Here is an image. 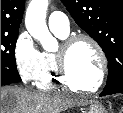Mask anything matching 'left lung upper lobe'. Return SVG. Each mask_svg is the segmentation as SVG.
Listing matches in <instances>:
<instances>
[{
  "label": "left lung upper lobe",
  "instance_id": "1",
  "mask_svg": "<svg viewBox=\"0 0 123 113\" xmlns=\"http://www.w3.org/2000/svg\"><path fill=\"white\" fill-rule=\"evenodd\" d=\"M77 25L108 60L106 93H123V0H62Z\"/></svg>",
  "mask_w": 123,
  "mask_h": 113
}]
</instances>
